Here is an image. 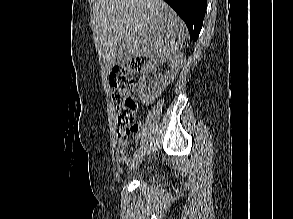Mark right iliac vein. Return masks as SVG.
Wrapping results in <instances>:
<instances>
[{
    "mask_svg": "<svg viewBox=\"0 0 293 219\" xmlns=\"http://www.w3.org/2000/svg\"><path fill=\"white\" fill-rule=\"evenodd\" d=\"M145 153L143 151L139 152L131 161L129 165V170L135 169L143 160Z\"/></svg>",
    "mask_w": 293,
    "mask_h": 219,
    "instance_id": "right-iliac-vein-1",
    "label": "right iliac vein"
}]
</instances>
